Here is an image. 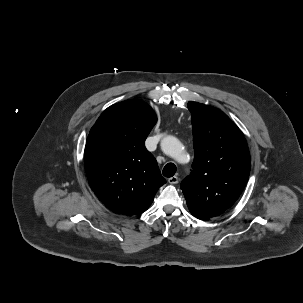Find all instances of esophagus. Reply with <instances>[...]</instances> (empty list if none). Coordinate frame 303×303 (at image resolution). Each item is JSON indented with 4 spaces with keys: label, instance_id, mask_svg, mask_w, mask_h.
Returning a JSON list of instances; mask_svg holds the SVG:
<instances>
[{
    "label": "esophagus",
    "instance_id": "obj_1",
    "mask_svg": "<svg viewBox=\"0 0 303 303\" xmlns=\"http://www.w3.org/2000/svg\"><path fill=\"white\" fill-rule=\"evenodd\" d=\"M179 181L178 177L177 176H172L168 179V182L171 183V184H177Z\"/></svg>",
    "mask_w": 303,
    "mask_h": 303
}]
</instances>
